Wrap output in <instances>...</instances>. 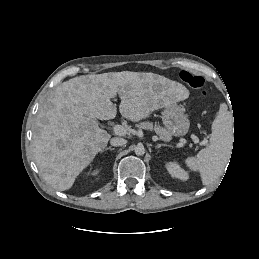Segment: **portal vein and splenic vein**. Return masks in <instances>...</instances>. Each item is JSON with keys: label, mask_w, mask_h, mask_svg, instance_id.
I'll list each match as a JSON object with an SVG mask.
<instances>
[{"label": "portal vein and splenic vein", "mask_w": 259, "mask_h": 259, "mask_svg": "<svg viewBox=\"0 0 259 259\" xmlns=\"http://www.w3.org/2000/svg\"><path fill=\"white\" fill-rule=\"evenodd\" d=\"M113 131L116 135H120V136H123L127 133L126 128H124L122 125H114ZM192 139H193L195 144L199 143L198 137L193 136ZM206 144H207L206 140L201 142V145H206Z\"/></svg>", "instance_id": "1"}]
</instances>
